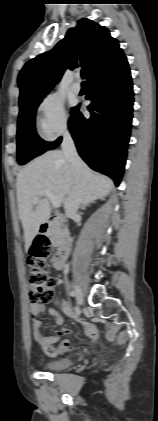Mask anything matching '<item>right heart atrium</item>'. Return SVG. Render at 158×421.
I'll list each match as a JSON object with an SVG mask.
<instances>
[{"instance_id":"obj_1","label":"right heart atrium","mask_w":158,"mask_h":421,"mask_svg":"<svg viewBox=\"0 0 158 421\" xmlns=\"http://www.w3.org/2000/svg\"><path fill=\"white\" fill-rule=\"evenodd\" d=\"M36 122L40 135L54 140L69 127V117L63 101L54 94L44 96L36 110Z\"/></svg>"}]
</instances>
